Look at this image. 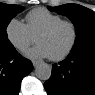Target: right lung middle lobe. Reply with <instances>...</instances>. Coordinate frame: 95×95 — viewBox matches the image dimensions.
Wrapping results in <instances>:
<instances>
[{
	"label": "right lung middle lobe",
	"mask_w": 95,
	"mask_h": 95,
	"mask_svg": "<svg viewBox=\"0 0 95 95\" xmlns=\"http://www.w3.org/2000/svg\"><path fill=\"white\" fill-rule=\"evenodd\" d=\"M21 10H22L21 6L0 3V48L1 49L12 46V44L8 39L6 28L10 20L17 14V12Z\"/></svg>",
	"instance_id": "dd1d6c3e"
}]
</instances>
